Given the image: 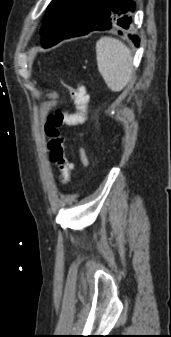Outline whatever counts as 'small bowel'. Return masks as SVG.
<instances>
[{"label":"small bowel","mask_w":171,"mask_h":337,"mask_svg":"<svg viewBox=\"0 0 171 337\" xmlns=\"http://www.w3.org/2000/svg\"><path fill=\"white\" fill-rule=\"evenodd\" d=\"M78 155H79L81 163L84 166H87L88 165V158H87V155H86L83 148H78Z\"/></svg>","instance_id":"1"}]
</instances>
